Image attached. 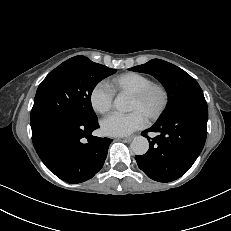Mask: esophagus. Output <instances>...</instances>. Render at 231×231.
Wrapping results in <instances>:
<instances>
[{"label":"esophagus","mask_w":231,"mask_h":231,"mask_svg":"<svg viewBox=\"0 0 231 231\" xmlns=\"http://www.w3.org/2000/svg\"><path fill=\"white\" fill-rule=\"evenodd\" d=\"M120 139H123L125 141H130L132 139V137H120Z\"/></svg>","instance_id":"esophagus-1"}]
</instances>
